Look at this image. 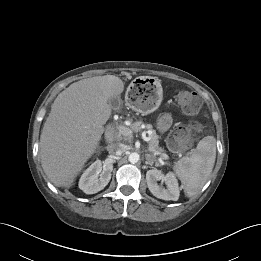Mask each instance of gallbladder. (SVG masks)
Wrapping results in <instances>:
<instances>
[{
    "label": "gallbladder",
    "instance_id": "bac80fb5",
    "mask_svg": "<svg viewBox=\"0 0 261 261\" xmlns=\"http://www.w3.org/2000/svg\"><path fill=\"white\" fill-rule=\"evenodd\" d=\"M108 104L112 109H116L118 107H120L121 105V100L118 97H111L108 100Z\"/></svg>",
    "mask_w": 261,
    "mask_h": 261
}]
</instances>
